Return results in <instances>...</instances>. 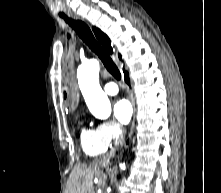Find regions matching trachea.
Masks as SVG:
<instances>
[{
    "mask_svg": "<svg viewBox=\"0 0 221 193\" xmlns=\"http://www.w3.org/2000/svg\"><path fill=\"white\" fill-rule=\"evenodd\" d=\"M61 17L75 30L77 35L83 40V42L88 45V47L100 58L104 64L107 71L112 74L116 80L121 79V73L113 62L111 57L106 53V51L101 47V45L94 38L90 28L80 20H73L66 15H61Z\"/></svg>",
    "mask_w": 221,
    "mask_h": 193,
    "instance_id": "3493384b",
    "label": "trachea"
}]
</instances>
